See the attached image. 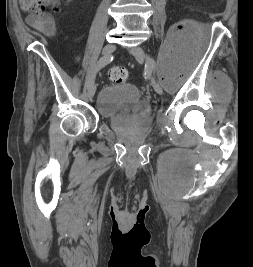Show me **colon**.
<instances>
[{
    "instance_id": "1",
    "label": "colon",
    "mask_w": 253,
    "mask_h": 267,
    "mask_svg": "<svg viewBox=\"0 0 253 267\" xmlns=\"http://www.w3.org/2000/svg\"><path fill=\"white\" fill-rule=\"evenodd\" d=\"M20 4L27 12L43 15L49 11H57L60 0H20ZM109 78L117 84L124 83L128 78V71L124 67L115 66L110 69Z\"/></svg>"
}]
</instances>
